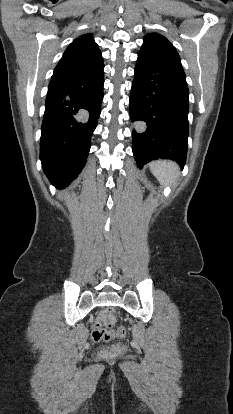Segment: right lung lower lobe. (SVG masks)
Here are the masks:
<instances>
[{"label":"right lung lower lobe","instance_id":"98d812e1","mask_svg":"<svg viewBox=\"0 0 233 414\" xmlns=\"http://www.w3.org/2000/svg\"><path fill=\"white\" fill-rule=\"evenodd\" d=\"M104 65L81 75L53 74L41 127L40 159L57 188L81 172L101 112Z\"/></svg>","mask_w":233,"mask_h":414}]
</instances>
